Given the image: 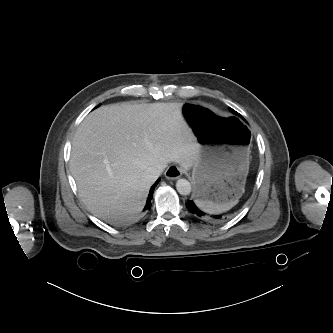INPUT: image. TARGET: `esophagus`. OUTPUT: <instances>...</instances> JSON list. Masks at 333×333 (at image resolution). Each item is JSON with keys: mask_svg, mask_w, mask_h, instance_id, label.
Returning a JSON list of instances; mask_svg holds the SVG:
<instances>
[{"mask_svg": "<svg viewBox=\"0 0 333 333\" xmlns=\"http://www.w3.org/2000/svg\"><path fill=\"white\" fill-rule=\"evenodd\" d=\"M183 174V169L177 166H170L165 171V177L169 180H175Z\"/></svg>", "mask_w": 333, "mask_h": 333, "instance_id": "esophagus-1", "label": "esophagus"}]
</instances>
